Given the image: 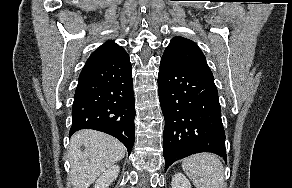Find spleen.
Listing matches in <instances>:
<instances>
[{
  "label": "spleen",
  "mask_w": 292,
  "mask_h": 188,
  "mask_svg": "<svg viewBox=\"0 0 292 188\" xmlns=\"http://www.w3.org/2000/svg\"><path fill=\"white\" fill-rule=\"evenodd\" d=\"M182 168L196 188H226L223 165L210 153L185 158Z\"/></svg>",
  "instance_id": "1"
}]
</instances>
